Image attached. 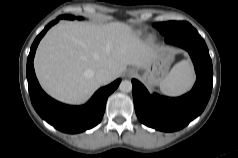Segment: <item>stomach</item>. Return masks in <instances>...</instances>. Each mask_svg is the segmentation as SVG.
Wrapping results in <instances>:
<instances>
[{
  "instance_id": "0dacf381",
  "label": "stomach",
  "mask_w": 238,
  "mask_h": 158,
  "mask_svg": "<svg viewBox=\"0 0 238 158\" xmlns=\"http://www.w3.org/2000/svg\"><path fill=\"white\" fill-rule=\"evenodd\" d=\"M175 52L169 48L158 50L153 58L143 67L142 81L148 86L158 85L167 75Z\"/></svg>"
}]
</instances>
